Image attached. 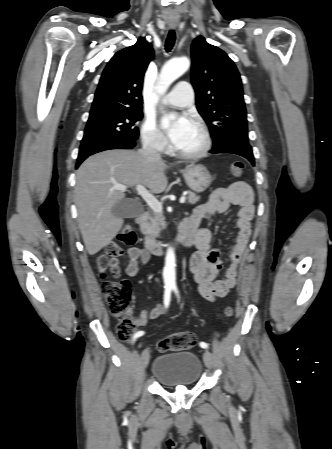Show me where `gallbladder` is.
Here are the masks:
<instances>
[{
  "label": "gallbladder",
  "mask_w": 332,
  "mask_h": 449,
  "mask_svg": "<svg viewBox=\"0 0 332 449\" xmlns=\"http://www.w3.org/2000/svg\"><path fill=\"white\" fill-rule=\"evenodd\" d=\"M142 213L139 203L130 198L120 200L113 208L112 214L120 218H134Z\"/></svg>",
  "instance_id": "obj_1"
}]
</instances>
